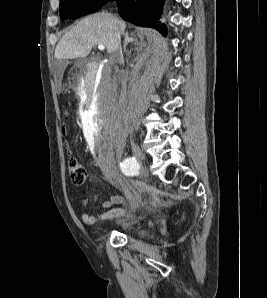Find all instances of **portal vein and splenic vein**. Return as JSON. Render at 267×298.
Listing matches in <instances>:
<instances>
[{
    "mask_svg": "<svg viewBox=\"0 0 267 298\" xmlns=\"http://www.w3.org/2000/svg\"><path fill=\"white\" fill-rule=\"evenodd\" d=\"M98 49H99V50H104V49H105V46L102 45V44H99V45H98Z\"/></svg>",
    "mask_w": 267,
    "mask_h": 298,
    "instance_id": "18ae733b",
    "label": "portal vein and splenic vein"
}]
</instances>
